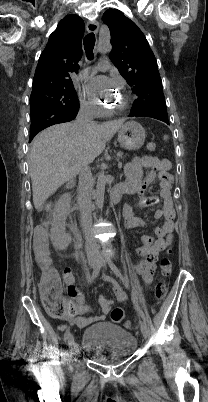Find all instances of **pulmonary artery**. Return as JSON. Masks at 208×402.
Returning a JSON list of instances; mask_svg holds the SVG:
<instances>
[{"instance_id": "e3ab8cb5", "label": "pulmonary artery", "mask_w": 208, "mask_h": 402, "mask_svg": "<svg viewBox=\"0 0 208 402\" xmlns=\"http://www.w3.org/2000/svg\"><path fill=\"white\" fill-rule=\"evenodd\" d=\"M107 64L108 63H107L106 60H104V59L101 60L99 62V70L103 71V72L107 71L109 69V66ZM95 69H97V67H93V68H90V69L87 68V67H84V68H82V70H78V73H82V75L87 76V75H89L90 71H93Z\"/></svg>"}]
</instances>
